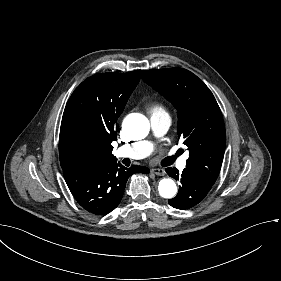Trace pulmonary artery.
I'll return each mask as SVG.
<instances>
[{
  "instance_id": "e3ab8cb5",
  "label": "pulmonary artery",
  "mask_w": 281,
  "mask_h": 281,
  "mask_svg": "<svg viewBox=\"0 0 281 281\" xmlns=\"http://www.w3.org/2000/svg\"><path fill=\"white\" fill-rule=\"evenodd\" d=\"M150 124L154 128V134L159 136L163 133L169 124V117L163 111H156L150 117ZM154 149V144L150 141H139L135 144H128L122 148V155L125 158H138L146 157L152 153ZM121 149L116 150V154L120 155ZM186 167V158L179 162V168L184 169Z\"/></svg>"
}]
</instances>
